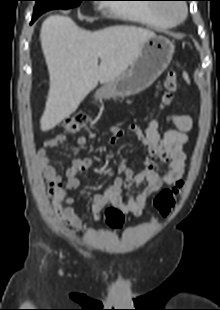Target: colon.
Returning a JSON list of instances; mask_svg holds the SVG:
<instances>
[{
	"mask_svg": "<svg viewBox=\"0 0 220 310\" xmlns=\"http://www.w3.org/2000/svg\"><path fill=\"white\" fill-rule=\"evenodd\" d=\"M179 76L175 70H169L165 74L164 78V94L163 102L167 104L172 95L178 88ZM86 124V116L83 113H75L67 116L63 122L62 127L67 134L74 135L84 128ZM62 187V183L58 181H50L49 192L55 194ZM183 189V182L178 181L171 188L163 189L158 193L154 199V208L150 212V215H156L160 217H166L170 214L171 210L175 206L177 198L180 196ZM105 217L107 223L112 228L118 229L123 225L124 216L123 213L116 207L111 206L105 210Z\"/></svg>",
	"mask_w": 220,
	"mask_h": 310,
	"instance_id": "colon-1",
	"label": "colon"
}]
</instances>
